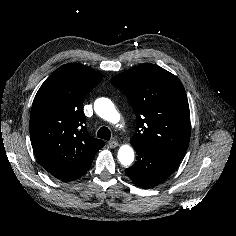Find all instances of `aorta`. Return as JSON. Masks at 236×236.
Masks as SVG:
<instances>
[{"mask_svg":"<svg viewBox=\"0 0 236 236\" xmlns=\"http://www.w3.org/2000/svg\"><path fill=\"white\" fill-rule=\"evenodd\" d=\"M94 110L99 117L110 123L115 124L120 120V114L109 99L102 98L97 100L94 104ZM117 156L122 165L129 166L134 161V150L130 145H122L118 150Z\"/></svg>","mask_w":236,"mask_h":236,"instance_id":"aorta-1","label":"aorta"}]
</instances>
